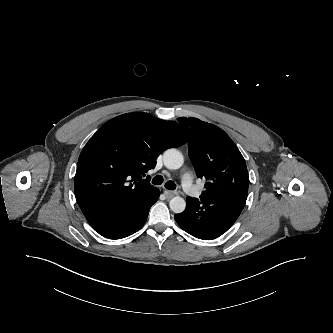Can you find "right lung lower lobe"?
I'll use <instances>...</instances> for the list:
<instances>
[{"label":"right lung lower lobe","mask_w":333,"mask_h":333,"mask_svg":"<svg viewBox=\"0 0 333 333\" xmlns=\"http://www.w3.org/2000/svg\"><path fill=\"white\" fill-rule=\"evenodd\" d=\"M159 194L157 189L152 196L135 206L92 210L84 214L88 223L100 235L108 239H121L135 233L144 225Z\"/></svg>","instance_id":"right-lung-lower-lobe-1"}]
</instances>
